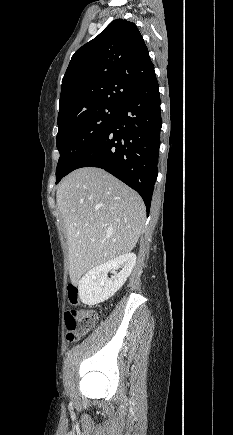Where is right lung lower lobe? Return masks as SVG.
<instances>
[{"label":"right lung lower lobe","mask_w":233,"mask_h":435,"mask_svg":"<svg viewBox=\"0 0 233 435\" xmlns=\"http://www.w3.org/2000/svg\"><path fill=\"white\" fill-rule=\"evenodd\" d=\"M154 76L132 92L104 135L70 168L98 167L136 190L147 213L157 178L161 109Z\"/></svg>","instance_id":"right-lung-lower-lobe-1"}]
</instances>
